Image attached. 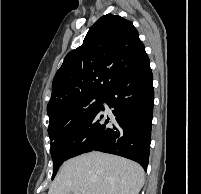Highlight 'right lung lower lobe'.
<instances>
[{"instance_id":"obj_1","label":"right lung lower lobe","mask_w":201,"mask_h":194,"mask_svg":"<svg viewBox=\"0 0 201 194\" xmlns=\"http://www.w3.org/2000/svg\"><path fill=\"white\" fill-rule=\"evenodd\" d=\"M153 77L148 56L104 95L112 116L99 109L61 143L57 156L65 160L90 151L119 155L146 171L153 115Z\"/></svg>"}]
</instances>
